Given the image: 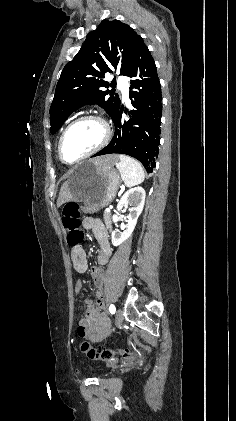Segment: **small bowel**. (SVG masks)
I'll use <instances>...</instances> for the list:
<instances>
[{"label":"small bowel","instance_id":"small-bowel-1","mask_svg":"<svg viewBox=\"0 0 236 421\" xmlns=\"http://www.w3.org/2000/svg\"><path fill=\"white\" fill-rule=\"evenodd\" d=\"M82 227L85 230H91L94 233L96 239L100 243H106L107 242V238H108L107 229L99 219H96V218H93V217H87L82 221ZM75 259H76V262H77V265H78L79 269L85 270L86 267H87V261H86V257H85V252L82 248H79L77 250V254L75 255ZM80 289H81V284L78 283L76 285V291L78 292V291H80ZM99 324H100V334L98 336H93V335L88 336L93 341L102 340L110 332V324H109V322L107 321V319L105 318L104 315L99 316Z\"/></svg>","mask_w":236,"mask_h":421}]
</instances>
